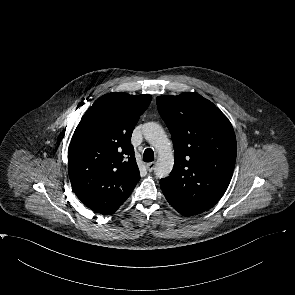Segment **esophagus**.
I'll return each instance as SVG.
<instances>
[{
	"instance_id": "obj_1",
	"label": "esophagus",
	"mask_w": 295,
	"mask_h": 295,
	"mask_svg": "<svg viewBox=\"0 0 295 295\" xmlns=\"http://www.w3.org/2000/svg\"><path fill=\"white\" fill-rule=\"evenodd\" d=\"M146 167L149 172H152L156 167V162H150L146 165Z\"/></svg>"
}]
</instances>
